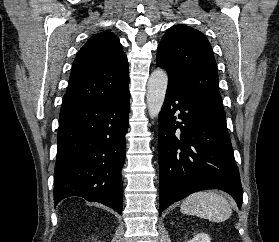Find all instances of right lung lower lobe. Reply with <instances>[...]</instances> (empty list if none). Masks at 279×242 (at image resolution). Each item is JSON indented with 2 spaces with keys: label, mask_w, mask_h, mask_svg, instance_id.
Instances as JSON below:
<instances>
[{
  "label": "right lung lower lobe",
  "mask_w": 279,
  "mask_h": 242,
  "mask_svg": "<svg viewBox=\"0 0 279 242\" xmlns=\"http://www.w3.org/2000/svg\"><path fill=\"white\" fill-rule=\"evenodd\" d=\"M129 89L94 102L61 108L54 171V204L78 196L122 212Z\"/></svg>",
  "instance_id": "right-lung-lower-lobe-1"
}]
</instances>
